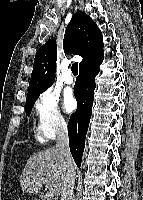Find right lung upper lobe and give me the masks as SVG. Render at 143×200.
I'll list each match as a JSON object with an SVG mask.
<instances>
[{
  "label": "right lung upper lobe",
  "mask_w": 143,
  "mask_h": 200,
  "mask_svg": "<svg viewBox=\"0 0 143 200\" xmlns=\"http://www.w3.org/2000/svg\"><path fill=\"white\" fill-rule=\"evenodd\" d=\"M63 48L66 54L72 53L83 58L79 67L102 51V33L85 12L77 11L72 16L65 31ZM56 58L54 39L47 41L36 52L26 100L35 97L54 83Z\"/></svg>",
  "instance_id": "1"
}]
</instances>
